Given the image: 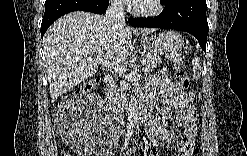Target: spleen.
<instances>
[{
    "instance_id": "obj_1",
    "label": "spleen",
    "mask_w": 247,
    "mask_h": 156,
    "mask_svg": "<svg viewBox=\"0 0 247 156\" xmlns=\"http://www.w3.org/2000/svg\"><path fill=\"white\" fill-rule=\"evenodd\" d=\"M192 65H193V78L198 80L201 75V70H202V65L200 58L194 55V58L192 60Z\"/></svg>"
}]
</instances>
